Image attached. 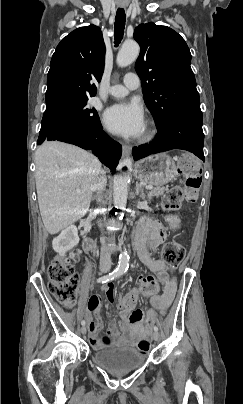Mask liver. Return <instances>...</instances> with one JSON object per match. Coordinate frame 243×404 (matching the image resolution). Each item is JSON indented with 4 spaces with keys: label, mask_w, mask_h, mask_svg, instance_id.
Masks as SVG:
<instances>
[{
    "label": "liver",
    "mask_w": 243,
    "mask_h": 404,
    "mask_svg": "<svg viewBox=\"0 0 243 404\" xmlns=\"http://www.w3.org/2000/svg\"><path fill=\"white\" fill-rule=\"evenodd\" d=\"M35 164L43 224L49 234H58L87 214L102 164L93 154L63 142H44L36 150Z\"/></svg>",
    "instance_id": "6515ba94"
}]
</instances>
